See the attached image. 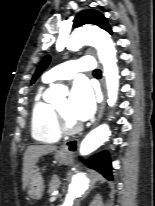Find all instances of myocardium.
<instances>
[{"instance_id":"myocardium-1","label":"myocardium","mask_w":155,"mask_h":206,"mask_svg":"<svg viewBox=\"0 0 155 206\" xmlns=\"http://www.w3.org/2000/svg\"><path fill=\"white\" fill-rule=\"evenodd\" d=\"M53 112L57 127L61 133L64 134H75L81 130V126L78 123H71L69 122L63 114L53 106Z\"/></svg>"}]
</instances>
